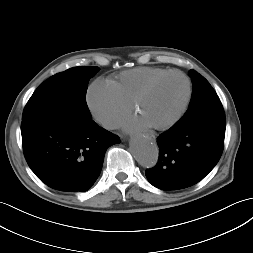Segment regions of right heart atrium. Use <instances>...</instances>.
I'll return each mask as SVG.
<instances>
[{
    "label": "right heart atrium",
    "mask_w": 253,
    "mask_h": 253,
    "mask_svg": "<svg viewBox=\"0 0 253 253\" xmlns=\"http://www.w3.org/2000/svg\"><path fill=\"white\" fill-rule=\"evenodd\" d=\"M86 104L91 115L106 128L116 127L129 113L130 105L109 81L97 79L88 87Z\"/></svg>",
    "instance_id": "right-heart-atrium-1"
}]
</instances>
